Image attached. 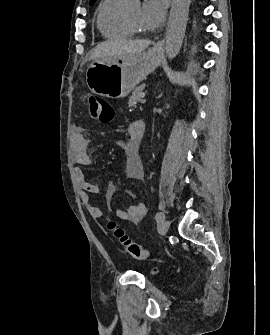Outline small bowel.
Wrapping results in <instances>:
<instances>
[{
  "mask_svg": "<svg viewBox=\"0 0 270 335\" xmlns=\"http://www.w3.org/2000/svg\"><path fill=\"white\" fill-rule=\"evenodd\" d=\"M137 121L128 125V146L125 154V161L127 166L128 176L132 179L141 180L144 178V166L139 156V148L141 145L140 137L135 134ZM89 141L83 134L80 126H73L71 131V155L73 162L78 166H90L92 160L88 153ZM74 176L78 187L82 191L81 199L85 204L91 217L97 221L103 218L102 210L91 202L90 195L99 194L100 190L97 185L90 182L83 170L76 167ZM116 193V186L113 182H108L106 186V198L110 200ZM146 212V206L143 203H136L129 206L127 209H119L116 216L119 220L137 223L139 222Z\"/></svg>",
  "mask_w": 270,
  "mask_h": 335,
  "instance_id": "obj_1",
  "label": "small bowel"
}]
</instances>
